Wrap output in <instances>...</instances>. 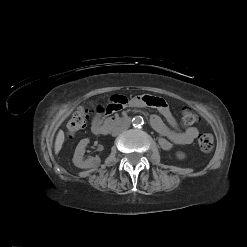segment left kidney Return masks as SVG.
Instances as JSON below:
<instances>
[{
    "instance_id": "obj_1",
    "label": "left kidney",
    "mask_w": 247,
    "mask_h": 247,
    "mask_svg": "<svg viewBox=\"0 0 247 247\" xmlns=\"http://www.w3.org/2000/svg\"><path fill=\"white\" fill-rule=\"evenodd\" d=\"M176 157L179 159V160H183L186 158V155L184 152H181V151H178L176 152Z\"/></svg>"
}]
</instances>
